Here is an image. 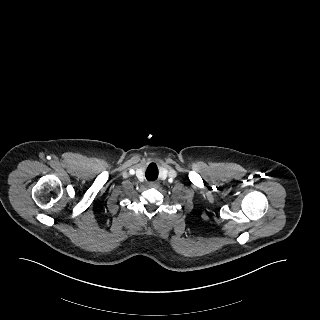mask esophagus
<instances>
[{
    "label": "esophagus",
    "instance_id": "obj_1",
    "mask_svg": "<svg viewBox=\"0 0 320 320\" xmlns=\"http://www.w3.org/2000/svg\"><path fill=\"white\" fill-rule=\"evenodd\" d=\"M157 185H158V184L155 183V182H150V183H149V186H150V187H156Z\"/></svg>",
    "mask_w": 320,
    "mask_h": 320
}]
</instances>
